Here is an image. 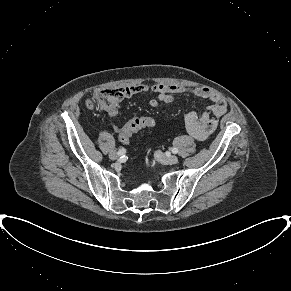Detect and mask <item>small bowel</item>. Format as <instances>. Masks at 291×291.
Wrapping results in <instances>:
<instances>
[{
  "label": "small bowel",
  "mask_w": 291,
  "mask_h": 291,
  "mask_svg": "<svg viewBox=\"0 0 291 291\" xmlns=\"http://www.w3.org/2000/svg\"><path fill=\"white\" fill-rule=\"evenodd\" d=\"M147 92L157 94V98L151 99L149 102L152 108H156L160 102L166 104L173 102L174 95L181 93H191L197 97L210 100L213 104L208 107V111L202 113L191 111L184 118L186 131L199 141L206 140L217 127V121L210 116V112L216 117H220L228 110L226 101L219 94L206 87L189 90L179 85L159 83L152 85L138 84L126 87L124 89V98H131L137 94ZM107 114L112 119H116L118 117V109L113 107L107 110Z\"/></svg>",
  "instance_id": "c3829d8e"
}]
</instances>
